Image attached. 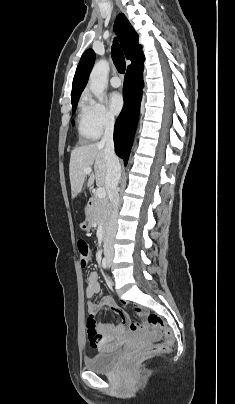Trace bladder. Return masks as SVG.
Here are the masks:
<instances>
[{
  "mask_svg": "<svg viewBox=\"0 0 235 404\" xmlns=\"http://www.w3.org/2000/svg\"><path fill=\"white\" fill-rule=\"evenodd\" d=\"M121 352L120 345L102 347L97 354L85 360V365L93 372H108L118 361Z\"/></svg>",
  "mask_w": 235,
  "mask_h": 404,
  "instance_id": "31cf9c89",
  "label": "bladder"
}]
</instances>
